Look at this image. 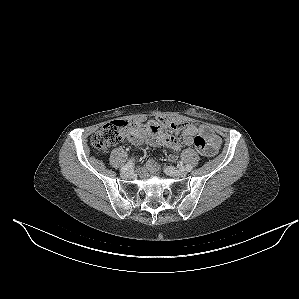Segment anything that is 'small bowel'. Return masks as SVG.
Returning a JSON list of instances; mask_svg holds the SVG:
<instances>
[{"instance_id":"small-bowel-1","label":"small bowel","mask_w":299,"mask_h":299,"mask_svg":"<svg viewBox=\"0 0 299 299\" xmlns=\"http://www.w3.org/2000/svg\"><path fill=\"white\" fill-rule=\"evenodd\" d=\"M160 119L149 120L141 129H131L127 134V139L133 145L138 147L144 145L145 143H148L152 146H167L173 150V153L170 154L169 159L171 161H175L177 158L176 152L179 150L180 144L173 136H170L163 131V126L160 122ZM197 136H202L205 138L209 148V153L207 156H212L217 152L221 144V140L219 136L212 131V129L206 125H198L195 123L187 124L186 128L182 132L183 142L185 145H192ZM147 167L152 172H157L158 170L157 164L152 159L147 161Z\"/></svg>"}]
</instances>
